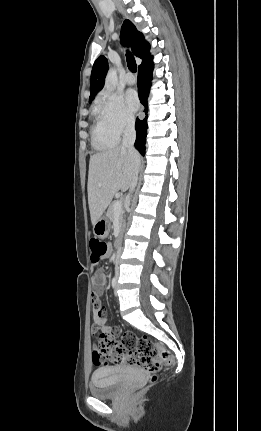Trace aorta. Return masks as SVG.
<instances>
[{
  "label": "aorta",
  "mask_w": 261,
  "mask_h": 431,
  "mask_svg": "<svg viewBox=\"0 0 261 431\" xmlns=\"http://www.w3.org/2000/svg\"><path fill=\"white\" fill-rule=\"evenodd\" d=\"M105 83L111 89H115L118 84L117 71L115 69H110L106 75Z\"/></svg>",
  "instance_id": "762f6f07"
}]
</instances>
